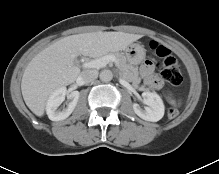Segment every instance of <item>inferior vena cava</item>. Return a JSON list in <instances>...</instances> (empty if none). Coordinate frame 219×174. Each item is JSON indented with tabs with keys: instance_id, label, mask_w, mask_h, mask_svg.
<instances>
[{
	"instance_id": "1",
	"label": "inferior vena cava",
	"mask_w": 219,
	"mask_h": 174,
	"mask_svg": "<svg viewBox=\"0 0 219 174\" xmlns=\"http://www.w3.org/2000/svg\"><path fill=\"white\" fill-rule=\"evenodd\" d=\"M98 76V72L96 70H85L81 72L79 79L83 83H90L91 81L95 80Z\"/></svg>"
}]
</instances>
